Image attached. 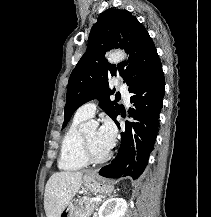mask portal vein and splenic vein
Segmentation results:
<instances>
[{
	"instance_id": "1",
	"label": "portal vein and splenic vein",
	"mask_w": 211,
	"mask_h": 217,
	"mask_svg": "<svg viewBox=\"0 0 211 217\" xmlns=\"http://www.w3.org/2000/svg\"><path fill=\"white\" fill-rule=\"evenodd\" d=\"M98 201H99L98 198H91L90 201H89V203H92V202H98Z\"/></svg>"
}]
</instances>
